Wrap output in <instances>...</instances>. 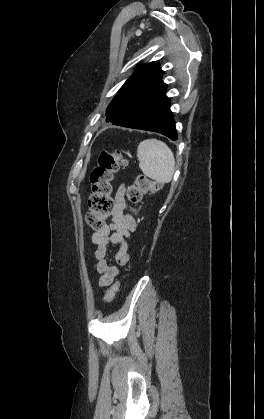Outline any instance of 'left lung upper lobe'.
I'll return each instance as SVG.
<instances>
[{
	"instance_id": "5c2ea615",
	"label": "left lung upper lobe",
	"mask_w": 264,
	"mask_h": 419,
	"mask_svg": "<svg viewBox=\"0 0 264 419\" xmlns=\"http://www.w3.org/2000/svg\"><path fill=\"white\" fill-rule=\"evenodd\" d=\"M164 71L158 62H151L142 66L121 87L106 110V118L124 113L129 105L135 101L149 86L162 82Z\"/></svg>"
}]
</instances>
